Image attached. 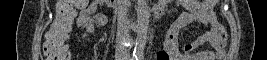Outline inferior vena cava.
<instances>
[{
  "instance_id": "602c4592",
  "label": "inferior vena cava",
  "mask_w": 267,
  "mask_h": 60,
  "mask_svg": "<svg viewBox=\"0 0 267 60\" xmlns=\"http://www.w3.org/2000/svg\"><path fill=\"white\" fill-rule=\"evenodd\" d=\"M118 28L121 32L128 34L132 24L126 17L127 8L125 4V0H118ZM127 53V51H125Z\"/></svg>"
}]
</instances>
